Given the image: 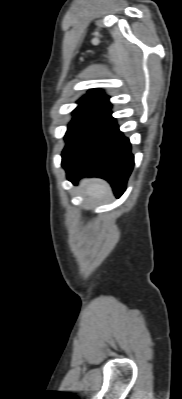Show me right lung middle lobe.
Returning a JSON list of instances; mask_svg holds the SVG:
<instances>
[{"label": "right lung middle lobe", "instance_id": "dd1d6c3e", "mask_svg": "<svg viewBox=\"0 0 182 399\" xmlns=\"http://www.w3.org/2000/svg\"><path fill=\"white\" fill-rule=\"evenodd\" d=\"M78 104L79 106L73 111L74 118L68 126L65 138L85 119L107 106L103 102L89 98L80 99Z\"/></svg>", "mask_w": 182, "mask_h": 399}]
</instances>
